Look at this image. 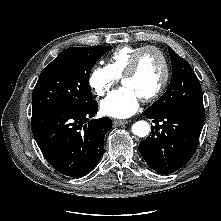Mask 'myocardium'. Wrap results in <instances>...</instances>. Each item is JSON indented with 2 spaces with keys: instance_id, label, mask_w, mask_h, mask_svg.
Wrapping results in <instances>:
<instances>
[{
  "instance_id": "f54148a6",
  "label": "myocardium",
  "mask_w": 221,
  "mask_h": 221,
  "mask_svg": "<svg viewBox=\"0 0 221 221\" xmlns=\"http://www.w3.org/2000/svg\"><path fill=\"white\" fill-rule=\"evenodd\" d=\"M149 51H155L156 53H158L160 55V57L162 59V63H163V77H162V80L159 83L158 87L156 88V90L153 93H151L150 95L141 99L145 103H148V102H151V101H154L155 99H157L163 93L164 89L166 88V86L168 84L169 76H170V68H169L168 59H167L165 53L159 47H156L153 45H148V46L141 48L140 50H138L134 54L128 67L126 68L125 72L121 76V82H123L124 79L134 75L135 72L137 71L139 61H140L142 55L146 52H149Z\"/></svg>"
}]
</instances>
